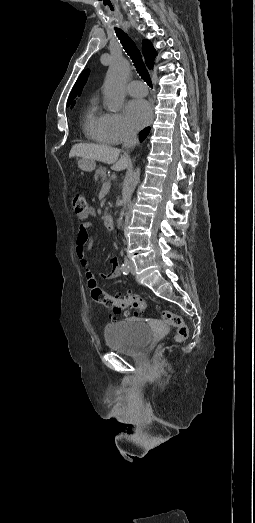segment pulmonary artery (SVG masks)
<instances>
[{
	"label": "pulmonary artery",
	"instance_id": "pulmonary-artery-1",
	"mask_svg": "<svg viewBox=\"0 0 255 523\" xmlns=\"http://www.w3.org/2000/svg\"><path fill=\"white\" fill-rule=\"evenodd\" d=\"M127 90L132 96H144L147 94L148 87L141 81H132L128 84Z\"/></svg>",
	"mask_w": 255,
	"mask_h": 523
}]
</instances>
